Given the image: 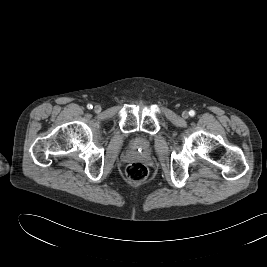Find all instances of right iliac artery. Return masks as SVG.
<instances>
[{"label":"right iliac artery","instance_id":"1","mask_svg":"<svg viewBox=\"0 0 267 267\" xmlns=\"http://www.w3.org/2000/svg\"><path fill=\"white\" fill-rule=\"evenodd\" d=\"M87 108H88V109H92L93 106H92L91 104H88V105H87Z\"/></svg>","mask_w":267,"mask_h":267}]
</instances>
